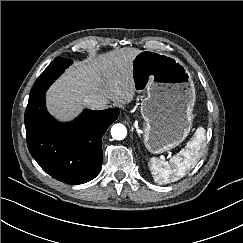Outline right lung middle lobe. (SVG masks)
Wrapping results in <instances>:
<instances>
[{
	"label": "right lung middle lobe",
	"mask_w": 243,
	"mask_h": 243,
	"mask_svg": "<svg viewBox=\"0 0 243 243\" xmlns=\"http://www.w3.org/2000/svg\"><path fill=\"white\" fill-rule=\"evenodd\" d=\"M71 64L70 60L65 58L57 57L46 69H58V68H67Z\"/></svg>",
	"instance_id": "obj_1"
}]
</instances>
